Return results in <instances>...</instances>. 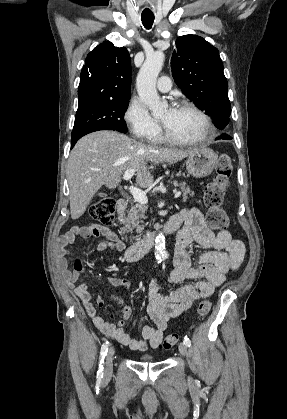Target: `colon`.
<instances>
[{
	"label": "colon",
	"mask_w": 287,
	"mask_h": 419,
	"mask_svg": "<svg viewBox=\"0 0 287 419\" xmlns=\"http://www.w3.org/2000/svg\"><path fill=\"white\" fill-rule=\"evenodd\" d=\"M233 160L228 154L219 156L216 165V177L204 189V204L207 208V220L211 228L224 230L229 226V219L222 207L227 191L228 179L232 174ZM90 216L103 224L111 225L115 222V201L111 197L99 200L91 209ZM80 261L75 263V269L80 271ZM211 301L203 299L198 305L197 312L200 317H205L211 309ZM179 340L178 334L167 335L159 344L160 349L169 350Z\"/></svg>",
	"instance_id": "obj_1"
}]
</instances>
